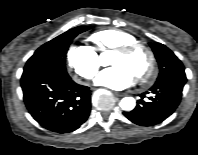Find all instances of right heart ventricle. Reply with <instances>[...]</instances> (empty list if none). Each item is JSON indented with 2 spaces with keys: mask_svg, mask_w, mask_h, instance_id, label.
Segmentation results:
<instances>
[{
  "mask_svg": "<svg viewBox=\"0 0 198 155\" xmlns=\"http://www.w3.org/2000/svg\"><path fill=\"white\" fill-rule=\"evenodd\" d=\"M91 40L101 51L112 50L123 44L136 41L133 35L115 28L97 31L91 35Z\"/></svg>",
  "mask_w": 198,
  "mask_h": 155,
  "instance_id": "1",
  "label": "right heart ventricle"
}]
</instances>
